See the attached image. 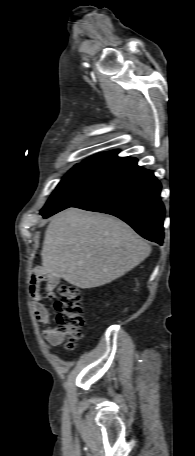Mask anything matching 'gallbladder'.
I'll use <instances>...</instances> for the list:
<instances>
[{
    "instance_id": "bac80fb5",
    "label": "gallbladder",
    "mask_w": 195,
    "mask_h": 456,
    "mask_svg": "<svg viewBox=\"0 0 195 456\" xmlns=\"http://www.w3.org/2000/svg\"><path fill=\"white\" fill-rule=\"evenodd\" d=\"M47 281H48V285L51 286V287H54L55 284H56L52 279H50L48 277H47Z\"/></svg>"
}]
</instances>
